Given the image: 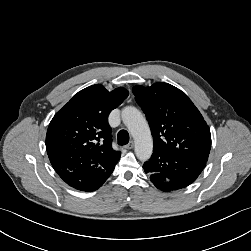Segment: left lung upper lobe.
Returning <instances> with one entry per match:
<instances>
[{
	"label": "left lung upper lobe",
	"instance_id": "1",
	"mask_svg": "<svg viewBox=\"0 0 251 251\" xmlns=\"http://www.w3.org/2000/svg\"><path fill=\"white\" fill-rule=\"evenodd\" d=\"M136 102L146 114L154 138L153 151L207 162L210 129L189 97L178 88L158 82L133 87Z\"/></svg>",
	"mask_w": 251,
	"mask_h": 251
}]
</instances>
